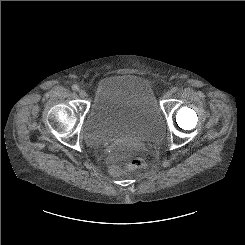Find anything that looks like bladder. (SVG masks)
I'll return each mask as SVG.
<instances>
[{"mask_svg": "<svg viewBox=\"0 0 245 245\" xmlns=\"http://www.w3.org/2000/svg\"><path fill=\"white\" fill-rule=\"evenodd\" d=\"M163 126L162 111L148 80L138 74L117 73L95 85L82 134L90 144L151 141Z\"/></svg>", "mask_w": 245, "mask_h": 245, "instance_id": "1", "label": "bladder"}]
</instances>
